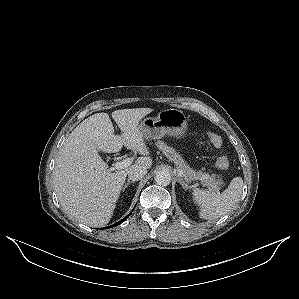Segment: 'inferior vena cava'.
I'll return each mask as SVG.
<instances>
[{
    "instance_id": "602c4592",
    "label": "inferior vena cava",
    "mask_w": 299,
    "mask_h": 299,
    "mask_svg": "<svg viewBox=\"0 0 299 299\" xmlns=\"http://www.w3.org/2000/svg\"><path fill=\"white\" fill-rule=\"evenodd\" d=\"M147 169L144 166L134 165L128 171V177L132 181H138L144 178Z\"/></svg>"
}]
</instances>
